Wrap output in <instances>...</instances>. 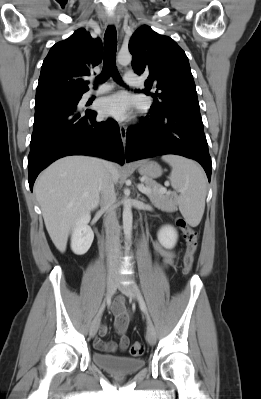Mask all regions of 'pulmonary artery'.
I'll return each instance as SVG.
<instances>
[{
	"instance_id": "pulmonary-artery-1",
	"label": "pulmonary artery",
	"mask_w": 261,
	"mask_h": 399,
	"mask_svg": "<svg viewBox=\"0 0 261 399\" xmlns=\"http://www.w3.org/2000/svg\"><path fill=\"white\" fill-rule=\"evenodd\" d=\"M124 80L127 84L130 85H139L140 81L137 78V75L133 71H128L124 75ZM113 85L108 83H103L98 85L95 88H91L89 91L85 93V98H90L94 95H99L102 93H106L112 89Z\"/></svg>"
}]
</instances>
